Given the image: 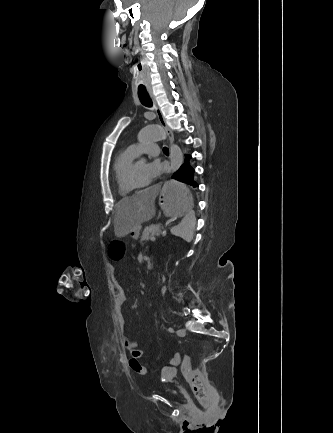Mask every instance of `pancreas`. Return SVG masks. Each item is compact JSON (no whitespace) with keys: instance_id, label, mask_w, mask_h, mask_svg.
I'll use <instances>...</instances> for the list:
<instances>
[{"instance_id":"cf45deb5","label":"pancreas","mask_w":333,"mask_h":433,"mask_svg":"<svg viewBox=\"0 0 333 433\" xmlns=\"http://www.w3.org/2000/svg\"><path fill=\"white\" fill-rule=\"evenodd\" d=\"M163 228L162 224H151L150 226H147L141 234L140 242L143 241H149L151 237H156L158 234L161 233Z\"/></svg>"}]
</instances>
